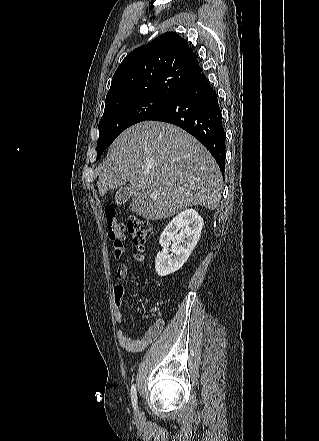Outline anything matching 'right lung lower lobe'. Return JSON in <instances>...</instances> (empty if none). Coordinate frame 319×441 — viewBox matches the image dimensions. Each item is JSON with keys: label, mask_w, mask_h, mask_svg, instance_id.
Here are the masks:
<instances>
[{"label": "right lung lower lobe", "mask_w": 319, "mask_h": 441, "mask_svg": "<svg viewBox=\"0 0 319 441\" xmlns=\"http://www.w3.org/2000/svg\"><path fill=\"white\" fill-rule=\"evenodd\" d=\"M148 120L174 124L199 140L225 171V132L218 95L204 73L184 85Z\"/></svg>", "instance_id": "1"}]
</instances>
